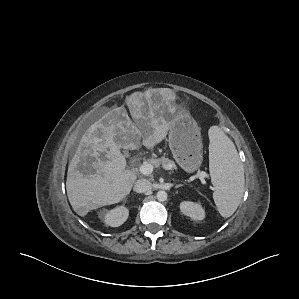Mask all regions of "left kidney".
<instances>
[{
    "instance_id": "5707ae66",
    "label": "left kidney",
    "mask_w": 299,
    "mask_h": 299,
    "mask_svg": "<svg viewBox=\"0 0 299 299\" xmlns=\"http://www.w3.org/2000/svg\"><path fill=\"white\" fill-rule=\"evenodd\" d=\"M180 210L193 220H203L205 218V211L200 203L183 201L180 204Z\"/></svg>"
}]
</instances>
